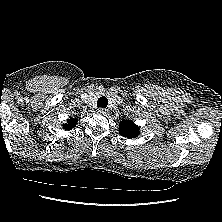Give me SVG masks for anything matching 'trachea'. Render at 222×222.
Masks as SVG:
<instances>
[{
  "label": "trachea",
  "instance_id": "trachea-1",
  "mask_svg": "<svg viewBox=\"0 0 222 222\" xmlns=\"http://www.w3.org/2000/svg\"><path fill=\"white\" fill-rule=\"evenodd\" d=\"M108 105V99L105 96H101L97 101V106L105 108Z\"/></svg>",
  "mask_w": 222,
  "mask_h": 222
}]
</instances>
